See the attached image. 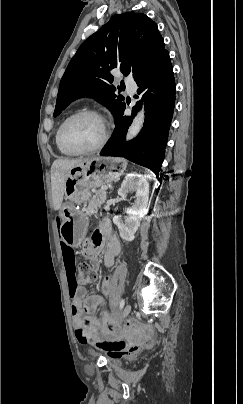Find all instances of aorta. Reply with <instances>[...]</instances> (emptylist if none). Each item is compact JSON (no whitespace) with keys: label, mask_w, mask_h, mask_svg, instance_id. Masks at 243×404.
<instances>
[{"label":"aorta","mask_w":243,"mask_h":404,"mask_svg":"<svg viewBox=\"0 0 243 404\" xmlns=\"http://www.w3.org/2000/svg\"><path fill=\"white\" fill-rule=\"evenodd\" d=\"M143 124H144V110H140L135 120H133L131 126H129V130L126 134L127 142L128 140H133V138H136V136H138Z\"/></svg>","instance_id":"obj_1"}]
</instances>
